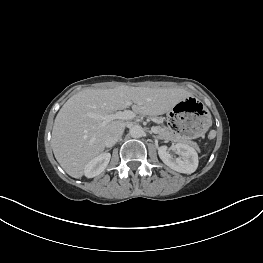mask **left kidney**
Instances as JSON below:
<instances>
[{
	"label": "left kidney",
	"instance_id": "obj_1",
	"mask_svg": "<svg viewBox=\"0 0 263 263\" xmlns=\"http://www.w3.org/2000/svg\"><path fill=\"white\" fill-rule=\"evenodd\" d=\"M176 153L180 157H173L167 151V146L158 149L160 159L171 169L185 174H191L198 167V154L196 150L184 143H177L174 146Z\"/></svg>",
	"mask_w": 263,
	"mask_h": 263
}]
</instances>
